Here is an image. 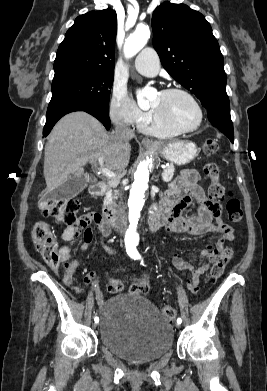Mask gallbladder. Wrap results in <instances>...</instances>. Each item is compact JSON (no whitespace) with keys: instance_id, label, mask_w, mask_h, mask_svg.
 Instances as JSON below:
<instances>
[{"instance_id":"gallbladder-1","label":"gallbladder","mask_w":267,"mask_h":391,"mask_svg":"<svg viewBox=\"0 0 267 391\" xmlns=\"http://www.w3.org/2000/svg\"><path fill=\"white\" fill-rule=\"evenodd\" d=\"M86 186L87 180L84 176L78 178L71 177L53 190L49 197L54 201H68L81 193Z\"/></svg>"}]
</instances>
